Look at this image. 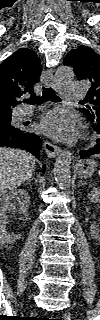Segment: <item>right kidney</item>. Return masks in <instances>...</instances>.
Wrapping results in <instances>:
<instances>
[{"label":"right kidney","mask_w":100,"mask_h":320,"mask_svg":"<svg viewBox=\"0 0 100 320\" xmlns=\"http://www.w3.org/2000/svg\"><path fill=\"white\" fill-rule=\"evenodd\" d=\"M16 201L18 203H16ZM30 205V196L26 190L17 189L10 191L0 198V242L2 244H12L20 239V235L10 233L6 229L8 223V214L17 212L20 215H26Z\"/></svg>","instance_id":"right-kidney-1"}]
</instances>
